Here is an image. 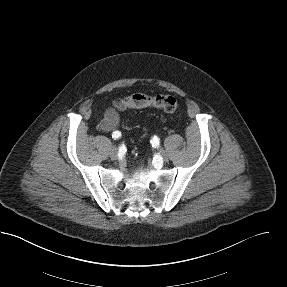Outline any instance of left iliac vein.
Masks as SVG:
<instances>
[{"instance_id":"4c4485c4","label":"left iliac vein","mask_w":287,"mask_h":287,"mask_svg":"<svg viewBox=\"0 0 287 287\" xmlns=\"http://www.w3.org/2000/svg\"><path fill=\"white\" fill-rule=\"evenodd\" d=\"M160 156H161L160 158L162 161H164V162L168 161V156L165 152H161ZM157 163L160 164V160H158Z\"/></svg>"}]
</instances>
